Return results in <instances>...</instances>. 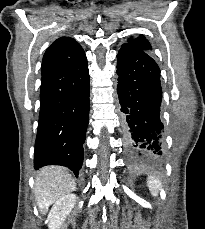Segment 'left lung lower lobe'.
<instances>
[{"label": "left lung lower lobe", "instance_id": "1", "mask_svg": "<svg viewBox=\"0 0 205 229\" xmlns=\"http://www.w3.org/2000/svg\"><path fill=\"white\" fill-rule=\"evenodd\" d=\"M117 74L125 147L134 157L160 162L165 141L160 69L148 52L125 43L117 55Z\"/></svg>", "mask_w": 205, "mask_h": 229}]
</instances>
